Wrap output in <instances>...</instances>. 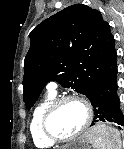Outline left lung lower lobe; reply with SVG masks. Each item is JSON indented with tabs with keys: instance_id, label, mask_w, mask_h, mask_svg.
Returning a JSON list of instances; mask_svg holds the SVG:
<instances>
[{
	"instance_id": "obj_1",
	"label": "left lung lower lobe",
	"mask_w": 124,
	"mask_h": 149,
	"mask_svg": "<svg viewBox=\"0 0 124 149\" xmlns=\"http://www.w3.org/2000/svg\"><path fill=\"white\" fill-rule=\"evenodd\" d=\"M117 68L99 80L86 94L94 111L91 125L96 122H114L124 126V117L120 109L117 94Z\"/></svg>"
}]
</instances>
